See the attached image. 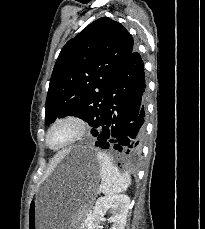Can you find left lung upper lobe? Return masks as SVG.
<instances>
[{"label":"left lung upper lobe","instance_id":"5c2ea615","mask_svg":"<svg viewBox=\"0 0 205 229\" xmlns=\"http://www.w3.org/2000/svg\"><path fill=\"white\" fill-rule=\"evenodd\" d=\"M133 38L120 23L102 17L62 48L51 76L45 124L74 115L98 127L108 91L133 51Z\"/></svg>","mask_w":205,"mask_h":229}]
</instances>
